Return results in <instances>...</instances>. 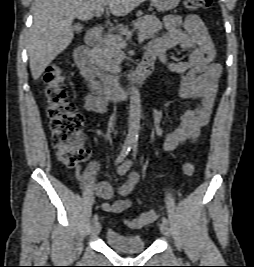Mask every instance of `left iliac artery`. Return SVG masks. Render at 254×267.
<instances>
[{
    "instance_id": "1",
    "label": "left iliac artery",
    "mask_w": 254,
    "mask_h": 267,
    "mask_svg": "<svg viewBox=\"0 0 254 267\" xmlns=\"http://www.w3.org/2000/svg\"><path fill=\"white\" fill-rule=\"evenodd\" d=\"M133 155H134V157L136 156V153H137V142L136 141H134L133 142ZM162 222L163 223H165V224H167L168 225V219L166 218V217H162Z\"/></svg>"
}]
</instances>
